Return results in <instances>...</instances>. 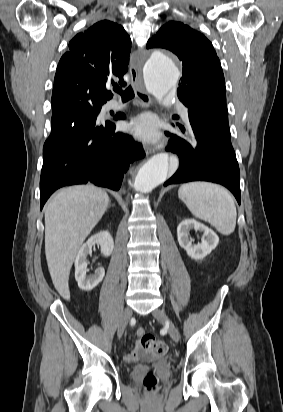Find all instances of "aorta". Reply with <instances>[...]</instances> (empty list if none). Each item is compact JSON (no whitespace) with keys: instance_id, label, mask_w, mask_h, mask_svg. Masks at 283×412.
<instances>
[{"instance_id":"1","label":"aorta","mask_w":283,"mask_h":412,"mask_svg":"<svg viewBox=\"0 0 283 412\" xmlns=\"http://www.w3.org/2000/svg\"><path fill=\"white\" fill-rule=\"evenodd\" d=\"M180 72L172 59L163 51H154L143 67V77L147 90L163 103L166 96L175 90ZM169 172V157L166 153L154 155L139 170L135 188L141 193H149L163 183Z\"/></svg>"}]
</instances>
